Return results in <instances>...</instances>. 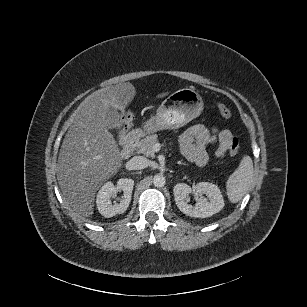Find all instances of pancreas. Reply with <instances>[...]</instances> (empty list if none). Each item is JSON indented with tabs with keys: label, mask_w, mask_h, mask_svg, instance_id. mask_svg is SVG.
I'll list each match as a JSON object with an SVG mask.
<instances>
[{
	"label": "pancreas",
	"mask_w": 307,
	"mask_h": 307,
	"mask_svg": "<svg viewBox=\"0 0 307 307\" xmlns=\"http://www.w3.org/2000/svg\"><path fill=\"white\" fill-rule=\"evenodd\" d=\"M157 141V135H147L143 139H138L135 142V149L146 156L154 157L155 156V149L154 144Z\"/></svg>",
	"instance_id": "cf45deb5"
}]
</instances>
